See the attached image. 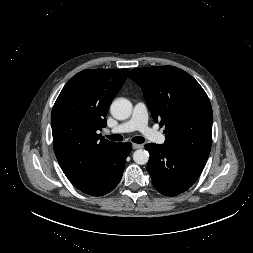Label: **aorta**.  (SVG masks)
Instances as JSON below:
<instances>
[{
	"mask_svg": "<svg viewBox=\"0 0 253 253\" xmlns=\"http://www.w3.org/2000/svg\"><path fill=\"white\" fill-rule=\"evenodd\" d=\"M110 112L117 120L128 119L132 114V103L125 98H118L112 102ZM133 160L139 165H144L149 160V153L146 150L138 149L133 153Z\"/></svg>",
	"mask_w": 253,
	"mask_h": 253,
	"instance_id": "762f6f07",
	"label": "aorta"
}]
</instances>
